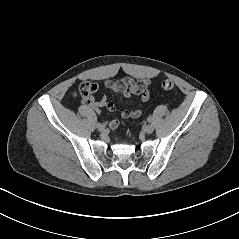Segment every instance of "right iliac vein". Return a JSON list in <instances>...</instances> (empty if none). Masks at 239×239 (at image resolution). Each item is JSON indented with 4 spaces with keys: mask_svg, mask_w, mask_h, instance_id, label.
<instances>
[{
    "mask_svg": "<svg viewBox=\"0 0 239 239\" xmlns=\"http://www.w3.org/2000/svg\"><path fill=\"white\" fill-rule=\"evenodd\" d=\"M98 130H99L100 132L105 131V126L101 124V125L98 127Z\"/></svg>",
    "mask_w": 239,
    "mask_h": 239,
    "instance_id": "obj_1",
    "label": "right iliac vein"
}]
</instances>
